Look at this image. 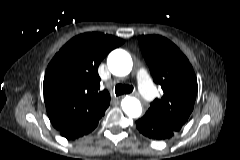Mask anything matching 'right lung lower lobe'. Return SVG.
<instances>
[{
  "label": "right lung lower lobe",
  "instance_id": "right-lung-lower-lobe-1",
  "mask_svg": "<svg viewBox=\"0 0 240 160\" xmlns=\"http://www.w3.org/2000/svg\"><path fill=\"white\" fill-rule=\"evenodd\" d=\"M106 109H103L84 120H78L70 123L59 131L60 134L69 140H74L89 134L97 127L98 122L105 114Z\"/></svg>",
  "mask_w": 240,
  "mask_h": 160
}]
</instances>
